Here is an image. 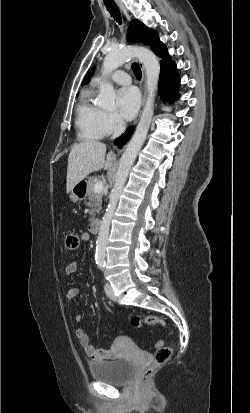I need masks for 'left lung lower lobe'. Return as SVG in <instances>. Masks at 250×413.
Here are the masks:
<instances>
[{
	"instance_id": "0a47b994",
	"label": "left lung lower lobe",
	"mask_w": 250,
	"mask_h": 413,
	"mask_svg": "<svg viewBox=\"0 0 250 413\" xmlns=\"http://www.w3.org/2000/svg\"><path fill=\"white\" fill-rule=\"evenodd\" d=\"M155 53L166 60L161 61L159 92L163 99H169L173 94H177L179 86V77L176 72V66L170 61L166 48Z\"/></svg>"
}]
</instances>
